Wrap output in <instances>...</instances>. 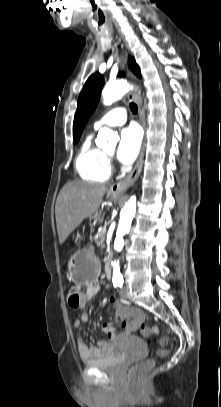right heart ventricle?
I'll list each match as a JSON object with an SVG mask.
<instances>
[{
  "label": "right heart ventricle",
  "instance_id": "right-heart-ventricle-1",
  "mask_svg": "<svg viewBox=\"0 0 221 407\" xmlns=\"http://www.w3.org/2000/svg\"><path fill=\"white\" fill-rule=\"evenodd\" d=\"M75 166L79 176L89 182L103 183L110 177L109 160L104 151L93 144L91 135L83 142Z\"/></svg>",
  "mask_w": 221,
  "mask_h": 407
}]
</instances>
